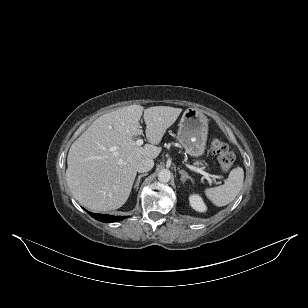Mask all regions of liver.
<instances>
[{
	"label": "liver",
	"mask_w": 308,
	"mask_h": 308,
	"mask_svg": "<svg viewBox=\"0 0 308 308\" xmlns=\"http://www.w3.org/2000/svg\"><path fill=\"white\" fill-rule=\"evenodd\" d=\"M181 108L141 105L119 108L98 117L73 142L68 152L66 181L74 198L93 211H110L127 201L142 158H156L166 130L177 120ZM143 114L146 138L143 147L134 137L143 130L139 124Z\"/></svg>",
	"instance_id": "liver-1"
}]
</instances>
